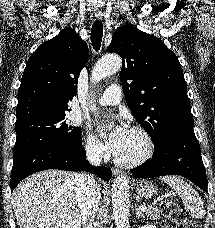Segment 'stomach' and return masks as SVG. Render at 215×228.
Masks as SVG:
<instances>
[{
	"instance_id": "stomach-1",
	"label": "stomach",
	"mask_w": 215,
	"mask_h": 228,
	"mask_svg": "<svg viewBox=\"0 0 215 228\" xmlns=\"http://www.w3.org/2000/svg\"><path fill=\"white\" fill-rule=\"evenodd\" d=\"M133 186H135L136 194L140 198H145V200H151L156 194V188L152 182L148 180H134Z\"/></svg>"
}]
</instances>
